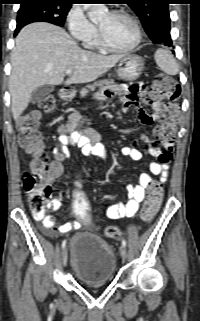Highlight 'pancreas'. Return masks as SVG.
<instances>
[{"instance_id":"cf45deb5","label":"pancreas","mask_w":200,"mask_h":321,"mask_svg":"<svg viewBox=\"0 0 200 321\" xmlns=\"http://www.w3.org/2000/svg\"><path fill=\"white\" fill-rule=\"evenodd\" d=\"M113 84H114L113 80H107V79L94 82L93 84L88 85L86 88H83L81 90V92H80L81 97H85L90 91H94L96 88L107 89L108 87H110Z\"/></svg>"}]
</instances>
